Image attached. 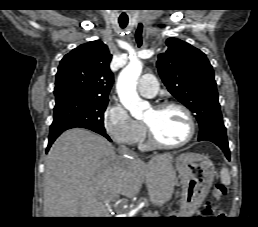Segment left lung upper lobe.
<instances>
[{"label":"left lung upper lobe","mask_w":258,"mask_h":227,"mask_svg":"<svg viewBox=\"0 0 258 227\" xmlns=\"http://www.w3.org/2000/svg\"><path fill=\"white\" fill-rule=\"evenodd\" d=\"M157 68L168 91L196 114L200 126L198 140L226 137L213 68L206 55L190 44L168 38Z\"/></svg>","instance_id":"left-lung-upper-lobe-1"}]
</instances>
